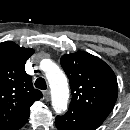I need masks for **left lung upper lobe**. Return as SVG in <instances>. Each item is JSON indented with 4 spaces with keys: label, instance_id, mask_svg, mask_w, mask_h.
Segmentation results:
<instances>
[{
    "label": "left lung upper lobe",
    "instance_id": "obj_1",
    "mask_svg": "<svg viewBox=\"0 0 130 130\" xmlns=\"http://www.w3.org/2000/svg\"><path fill=\"white\" fill-rule=\"evenodd\" d=\"M60 63L70 80V107L91 112L105 120L118 96V84L112 69L100 58L83 51L63 55Z\"/></svg>",
    "mask_w": 130,
    "mask_h": 130
}]
</instances>
